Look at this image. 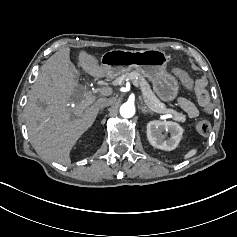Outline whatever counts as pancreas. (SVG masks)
<instances>
[{"label":"pancreas","mask_w":237,"mask_h":237,"mask_svg":"<svg viewBox=\"0 0 237 237\" xmlns=\"http://www.w3.org/2000/svg\"><path fill=\"white\" fill-rule=\"evenodd\" d=\"M122 77L124 79L135 80L136 84L140 88L141 92L147 97L148 101L152 102L155 106H157L160 109L165 108V105L163 103H161L160 100L156 97V95L150 89L149 83L146 81V79L142 75H140L139 73L133 71V72H130V73H125ZM146 106H148V105L146 104ZM149 110L152 111L151 109H149ZM152 112H155V111H152ZM167 113H162V114H167ZM177 116L181 119H179ZM177 116L175 115V120L176 121H178V122H183L184 121V117L181 116L179 113H177Z\"/></svg>","instance_id":"1"}]
</instances>
